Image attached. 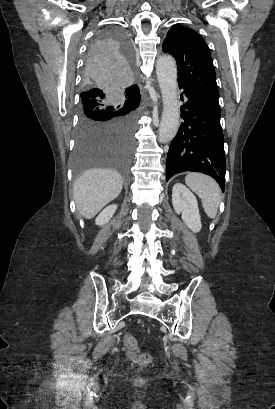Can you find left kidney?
Returning a JSON list of instances; mask_svg holds the SVG:
<instances>
[{
    "label": "left kidney",
    "mask_w": 275,
    "mask_h": 409,
    "mask_svg": "<svg viewBox=\"0 0 275 409\" xmlns=\"http://www.w3.org/2000/svg\"><path fill=\"white\" fill-rule=\"evenodd\" d=\"M172 205L178 215L182 213V219L185 225H187L193 233H199L202 225L198 202L193 192H191L185 184H182V182H176L173 186Z\"/></svg>",
    "instance_id": "5707ae66"
}]
</instances>
